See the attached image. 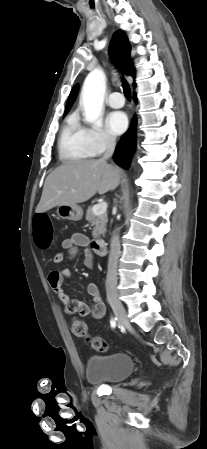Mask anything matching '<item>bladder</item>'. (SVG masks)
I'll return each mask as SVG.
<instances>
[{"instance_id":"31cf9c89","label":"bladder","mask_w":207,"mask_h":449,"mask_svg":"<svg viewBox=\"0 0 207 449\" xmlns=\"http://www.w3.org/2000/svg\"><path fill=\"white\" fill-rule=\"evenodd\" d=\"M134 369L132 357L125 353L91 355L86 362L85 376L90 383L117 384L128 378Z\"/></svg>"}]
</instances>
